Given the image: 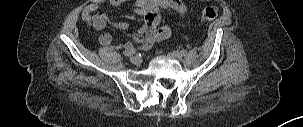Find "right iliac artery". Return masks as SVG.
Masks as SVG:
<instances>
[{
  "label": "right iliac artery",
  "instance_id": "obj_1",
  "mask_svg": "<svg viewBox=\"0 0 303 127\" xmlns=\"http://www.w3.org/2000/svg\"><path fill=\"white\" fill-rule=\"evenodd\" d=\"M135 52H136L135 49H131V50H126V51H124L123 54H124L125 56H131V55H133Z\"/></svg>",
  "mask_w": 303,
  "mask_h": 127
}]
</instances>
